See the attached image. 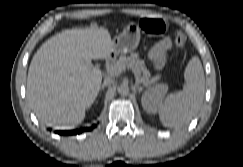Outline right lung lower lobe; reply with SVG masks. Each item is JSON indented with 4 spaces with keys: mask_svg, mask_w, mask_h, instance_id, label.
<instances>
[{
    "mask_svg": "<svg viewBox=\"0 0 243 167\" xmlns=\"http://www.w3.org/2000/svg\"><path fill=\"white\" fill-rule=\"evenodd\" d=\"M94 127V126H93ZM91 128H87L86 130H90ZM56 133L60 135H75L81 133V130H71V131H56Z\"/></svg>",
    "mask_w": 243,
    "mask_h": 167,
    "instance_id": "98d812e1",
    "label": "right lung lower lobe"
}]
</instances>
